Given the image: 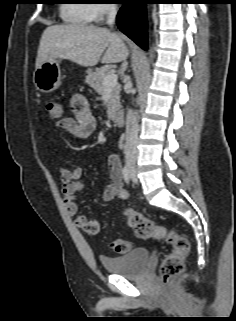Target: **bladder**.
Returning a JSON list of instances; mask_svg holds the SVG:
<instances>
[{
	"label": "bladder",
	"instance_id": "bladder-1",
	"mask_svg": "<svg viewBox=\"0 0 236 321\" xmlns=\"http://www.w3.org/2000/svg\"><path fill=\"white\" fill-rule=\"evenodd\" d=\"M149 260V250L138 247L124 255L116 257H101L100 261L106 271L123 277H139Z\"/></svg>",
	"mask_w": 236,
	"mask_h": 321
}]
</instances>
